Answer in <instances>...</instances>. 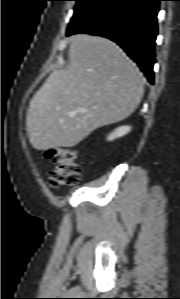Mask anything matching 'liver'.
<instances>
[{
	"mask_svg": "<svg viewBox=\"0 0 180 299\" xmlns=\"http://www.w3.org/2000/svg\"><path fill=\"white\" fill-rule=\"evenodd\" d=\"M143 93V75L119 46L75 35L67 67L52 71L30 101V143L36 150L74 147L95 129L130 116Z\"/></svg>",
	"mask_w": 180,
	"mask_h": 299,
	"instance_id": "6515ba94",
	"label": "liver"
}]
</instances>
